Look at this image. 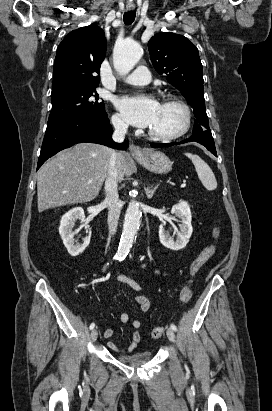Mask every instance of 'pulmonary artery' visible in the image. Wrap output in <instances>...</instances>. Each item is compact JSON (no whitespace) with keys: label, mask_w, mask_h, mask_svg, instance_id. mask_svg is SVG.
Wrapping results in <instances>:
<instances>
[{"label":"pulmonary artery","mask_w":272,"mask_h":411,"mask_svg":"<svg viewBox=\"0 0 272 411\" xmlns=\"http://www.w3.org/2000/svg\"><path fill=\"white\" fill-rule=\"evenodd\" d=\"M151 81L148 69L144 66H138L135 71L126 78V82L135 86H145Z\"/></svg>","instance_id":"obj_1"}]
</instances>
